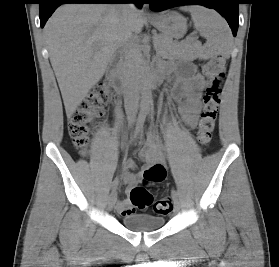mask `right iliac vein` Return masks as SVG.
Listing matches in <instances>:
<instances>
[{
	"label": "right iliac vein",
	"mask_w": 279,
	"mask_h": 267,
	"mask_svg": "<svg viewBox=\"0 0 279 267\" xmlns=\"http://www.w3.org/2000/svg\"><path fill=\"white\" fill-rule=\"evenodd\" d=\"M116 199H117L116 192L113 191V192L110 194L109 198H108V208H109L110 210L114 207V205H115V203H116Z\"/></svg>",
	"instance_id": "right-iliac-vein-1"
}]
</instances>
